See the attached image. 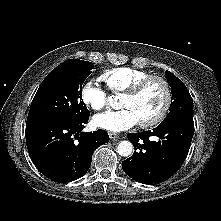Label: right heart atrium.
<instances>
[{
  "label": "right heart atrium",
  "instance_id": "1",
  "mask_svg": "<svg viewBox=\"0 0 221 221\" xmlns=\"http://www.w3.org/2000/svg\"><path fill=\"white\" fill-rule=\"evenodd\" d=\"M82 102L94 111H102L107 108L108 97L96 81H86L80 91Z\"/></svg>",
  "mask_w": 221,
  "mask_h": 221
}]
</instances>
